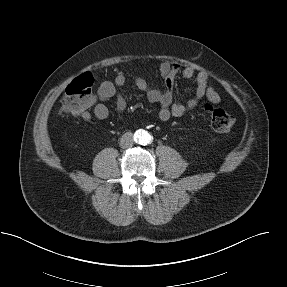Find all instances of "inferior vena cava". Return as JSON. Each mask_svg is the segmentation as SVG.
<instances>
[{
  "instance_id": "obj_1",
  "label": "inferior vena cava",
  "mask_w": 287,
  "mask_h": 287,
  "mask_svg": "<svg viewBox=\"0 0 287 287\" xmlns=\"http://www.w3.org/2000/svg\"><path fill=\"white\" fill-rule=\"evenodd\" d=\"M134 144L133 135L130 132L125 133L120 139V147L121 148H129Z\"/></svg>"
}]
</instances>
